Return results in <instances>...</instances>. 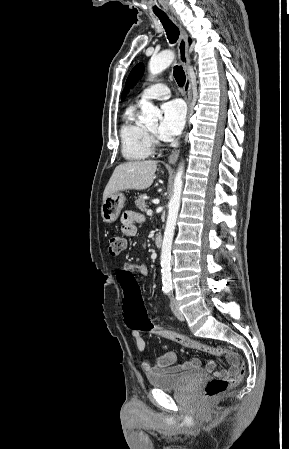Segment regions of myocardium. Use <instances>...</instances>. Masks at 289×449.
I'll use <instances>...</instances> for the list:
<instances>
[{
	"instance_id": "myocardium-1",
	"label": "myocardium",
	"mask_w": 289,
	"mask_h": 449,
	"mask_svg": "<svg viewBox=\"0 0 289 449\" xmlns=\"http://www.w3.org/2000/svg\"><path fill=\"white\" fill-rule=\"evenodd\" d=\"M150 133H151V135H154V132H153V131H150Z\"/></svg>"
}]
</instances>
